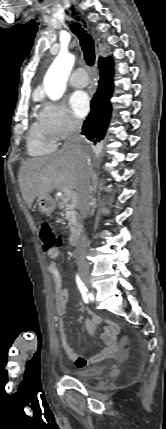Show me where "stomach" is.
I'll return each instance as SVG.
<instances>
[{
	"label": "stomach",
	"mask_w": 166,
	"mask_h": 429,
	"mask_svg": "<svg viewBox=\"0 0 166 429\" xmlns=\"http://www.w3.org/2000/svg\"><path fill=\"white\" fill-rule=\"evenodd\" d=\"M36 205L43 214H51L55 209V202L50 195L38 196Z\"/></svg>",
	"instance_id": "obj_1"
}]
</instances>
